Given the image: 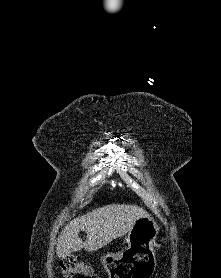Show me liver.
Masks as SVG:
<instances>
[{
	"instance_id": "6515ba94",
	"label": "liver",
	"mask_w": 221,
	"mask_h": 278,
	"mask_svg": "<svg viewBox=\"0 0 221 278\" xmlns=\"http://www.w3.org/2000/svg\"><path fill=\"white\" fill-rule=\"evenodd\" d=\"M147 215L136 205L112 204L92 210L64 228L58 238L57 256L64 257L83 248L88 252L97 251L127 234L137 219ZM80 231L87 233L85 242L79 237Z\"/></svg>"
}]
</instances>
